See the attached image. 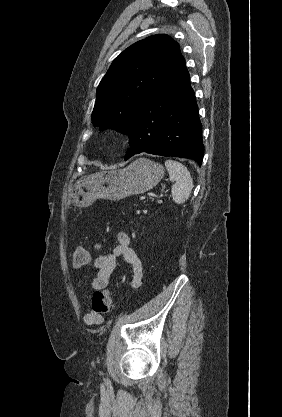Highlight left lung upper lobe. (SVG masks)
Listing matches in <instances>:
<instances>
[{
  "label": "left lung upper lobe",
  "instance_id": "obj_1",
  "mask_svg": "<svg viewBox=\"0 0 282 417\" xmlns=\"http://www.w3.org/2000/svg\"><path fill=\"white\" fill-rule=\"evenodd\" d=\"M181 57L179 44L165 34L152 35L125 49L97 88L94 126L127 134L137 109Z\"/></svg>",
  "mask_w": 282,
  "mask_h": 417
}]
</instances>
